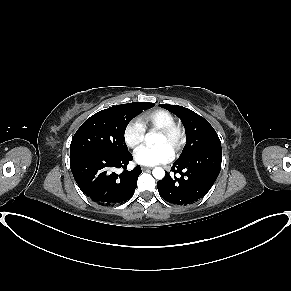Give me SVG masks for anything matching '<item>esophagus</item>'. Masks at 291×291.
Wrapping results in <instances>:
<instances>
[{"mask_svg":"<svg viewBox=\"0 0 291 291\" xmlns=\"http://www.w3.org/2000/svg\"><path fill=\"white\" fill-rule=\"evenodd\" d=\"M150 169H152V168L151 167H146V166L142 167V170H150Z\"/></svg>","mask_w":291,"mask_h":291,"instance_id":"esophagus-1","label":"esophagus"}]
</instances>
